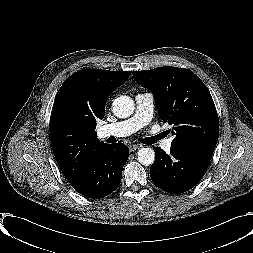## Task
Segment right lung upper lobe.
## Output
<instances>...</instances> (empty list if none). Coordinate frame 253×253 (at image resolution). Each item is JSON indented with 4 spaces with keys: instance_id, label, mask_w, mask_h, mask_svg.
<instances>
[{
    "instance_id": "1",
    "label": "right lung upper lobe",
    "mask_w": 253,
    "mask_h": 253,
    "mask_svg": "<svg viewBox=\"0 0 253 253\" xmlns=\"http://www.w3.org/2000/svg\"><path fill=\"white\" fill-rule=\"evenodd\" d=\"M130 74L84 69L60 87L53 104L50 139L56 161L70 184L79 178L95 151L106 144L97 139L96 121L103 119L109 95Z\"/></svg>"
}]
</instances>
